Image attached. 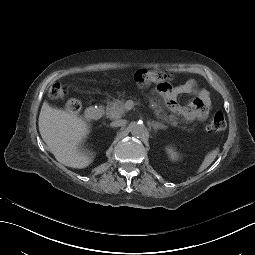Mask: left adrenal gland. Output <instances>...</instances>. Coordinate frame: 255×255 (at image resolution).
Masks as SVG:
<instances>
[{
  "instance_id": "obj_1",
  "label": "left adrenal gland",
  "mask_w": 255,
  "mask_h": 255,
  "mask_svg": "<svg viewBox=\"0 0 255 255\" xmlns=\"http://www.w3.org/2000/svg\"><path fill=\"white\" fill-rule=\"evenodd\" d=\"M151 126L153 127V129H154L155 132H157L158 129H164V130H166V126L162 125V124L159 123V122H154V121H152V122H151Z\"/></svg>"
}]
</instances>
